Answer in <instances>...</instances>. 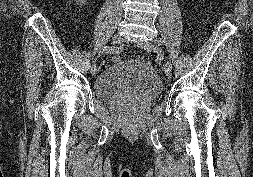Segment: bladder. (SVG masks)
Wrapping results in <instances>:
<instances>
[{
  "label": "bladder",
  "instance_id": "obj_1",
  "mask_svg": "<svg viewBox=\"0 0 253 177\" xmlns=\"http://www.w3.org/2000/svg\"><path fill=\"white\" fill-rule=\"evenodd\" d=\"M163 84L152 65L138 60H120L106 67L95 79L93 91L104 101L119 98L150 103L160 96Z\"/></svg>",
  "mask_w": 253,
  "mask_h": 177
}]
</instances>
